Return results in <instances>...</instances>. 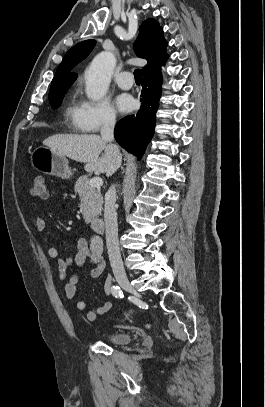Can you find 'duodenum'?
I'll list each match as a JSON object with an SVG mask.
<instances>
[{
  "mask_svg": "<svg viewBox=\"0 0 265 407\" xmlns=\"http://www.w3.org/2000/svg\"><path fill=\"white\" fill-rule=\"evenodd\" d=\"M90 228L93 232L101 234L104 231V221L99 218L92 219L90 222Z\"/></svg>",
  "mask_w": 265,
  "mask_h": 407,
  "instance_id": "duodenum-1",
  "label": "duodenum"
}]
</instances>
